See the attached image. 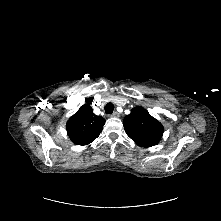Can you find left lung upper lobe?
I'll list each match as a JSON object with an SVG mask.
<instances>
[{
	"mask_svg": "<svg viewBox=\"0 0 221 221\" xmlns=\"http://www.w3.org/2000/svg\"><path fill=\"white\" fill-rule=\"evenodd\" d=\"M127 135L140 147H151L159 143L164 128L147 110L138 106L123 120Z\"/></svg>",
	"mask_w": 221,
	"mask_h": 221,
	"instance_id": "obj_1",
	"label": "left lung upper lobe"
}]
</instances>
